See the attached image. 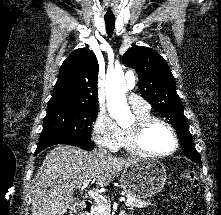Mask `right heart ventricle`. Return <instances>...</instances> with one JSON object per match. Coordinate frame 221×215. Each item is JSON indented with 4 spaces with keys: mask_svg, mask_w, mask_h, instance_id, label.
I'll return each instance as SVG.
<instances>
[{
    "mask_svg": "<svg viewBox=\"0 0 221 215\" xmlns=\"http://www.w3.org/2000/svg\"><path fill=\"white\" fill-rule=\"evenodd\" d=\"M134 113L137 119H144L151 116L150 110L134 112ZM121 146L124 147L128 152L134 153V151L130 147L128 130H123V139Z\"/></svg>",
    "mask_w": 221,
    "mask_h": 215,
    "instance_id": "1",
    "label": "right heart ventricle"
}]
</instances>
